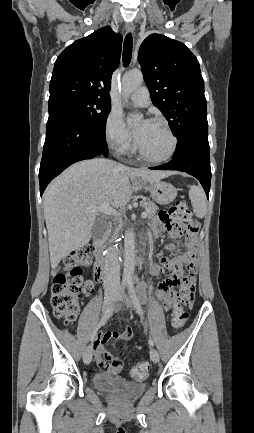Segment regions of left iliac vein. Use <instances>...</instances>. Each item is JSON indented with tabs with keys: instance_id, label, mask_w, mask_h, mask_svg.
Returning <instances> with one entry per match:
<instances>
[{
	"instance_id": "obj_1",
	"label": "left iliac vein",
	"mask_w": 254,
	"mask_h": 433,
	"mask_svg": "<svg viewBox=\"0 0 254 433\" xmlns=\"http://www.w3.org/2000/svg\"><path fill=\"white\" fill-rule=\"evenodd\" d=\"M117 300L123 302L127 307L133 306L132 299L124 293L122 290H119L117 292ZM120 304L117 305V308H120ZM150 358L154 363H157L159 361V353L155 348L150 349Z\"/></svg>"
}]
</instances>
